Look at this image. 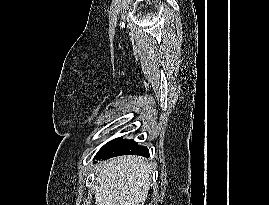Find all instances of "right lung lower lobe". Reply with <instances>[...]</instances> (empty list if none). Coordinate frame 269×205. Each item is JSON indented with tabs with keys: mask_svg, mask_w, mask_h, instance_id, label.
Instances as JSON below:
<instances>
[{
	"mask_svg": "<svg viewBox=\"0 0 269 205\" xmlns=\"http://www.w3.org/2000/svg\"><path fill=\"white\" fill-rule=\"evenodd\" d=\"M119 155H140L149 156V151L145 146H139L134 140H124L116 138L106 143L96 154L95 159L106 160Z\"/></svg>",
	"mask_w": 269,
	"mask_h": 205,
	"instance_id": "1",
	"label": "right lung lower lobe"
}]
</instances>
